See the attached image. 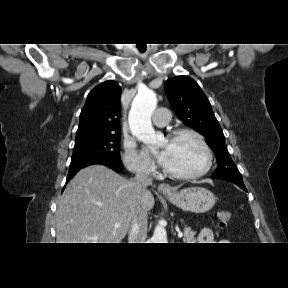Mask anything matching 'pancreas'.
Returning <instances> with one entry per match:
<instances>
[{
    "label": "pancreas",
    "mask_w": 288,
    "mask_h": 288,
    "mask_svg": "<svg viewBox=\"0 0 288 288\" xmlns=\"http://www.w3.org/2000/svg\"><path fill=\"white\" fill-rule=\"evenodd\" d=\"M195 232L191 230L190 227L184 228V243H194L195 242Z\"/></svg>",
    "instance_id": "pancreas-1"
}]
</instances>
